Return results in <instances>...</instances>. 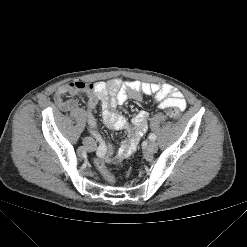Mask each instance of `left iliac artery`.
Returning <instances> with one entry per match:
<instances>
[{
    "label": "left iliac artery",
    "mask_w": 247,
    "mask_h": 247,
    "mask_svg": "<svg viewBox=\"0 0 247 247\" xmlns=\"http://www.w3.org/2000/svg\"><path fill=\"white\" fill-rule=\"evenodd\" d=\"M149 139H150L151 141H155V140H156V135L153 134V133H150V134H149Z\"/></svg>",
    "instance_id": "left-iliac-artery-1"
}]
</instances>
